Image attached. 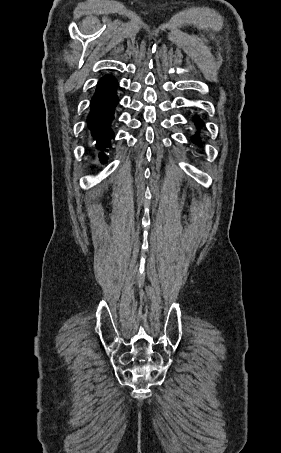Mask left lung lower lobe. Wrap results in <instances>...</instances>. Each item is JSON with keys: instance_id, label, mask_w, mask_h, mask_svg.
Listing matches in <instances>:
<instances>
[{"instance_id": "0a47b994", "label": "left lung lower lobe", "mask_w": 281, "mask_h": 453, "mask_svg": "<svg viewBox=\"0 0 281 453\" xmlns=\"http://www.w3.org/2000/svg\"><path fill=\"white\" fill-rule=\"evenodd\" d=\"M194 122L196 125L200 126L202 124V121L198 118V117H195L194 118ZM192 141L196 144H200L201 141H200V138L198 135H195L193 138H192Z\"/></svg>"}]
</instances>
